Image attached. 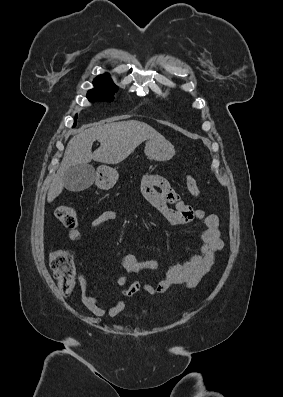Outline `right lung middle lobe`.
<instances>
[{
	"label": "right lung middle lobe",
	"instance_id": "right-lung-middle-lobe-1",
	"mask_svg": "<svg viewBox=\"0 0 283 397\" xmlns=\"http://www.w3.org/2000/svg\"><path fill=\"white\" fill-rule=\"evenodd\" d=\"M94 88L89 90L87 98L90 102L92 101H108L111 102L114 99V94L117 91V87L113 82H93ZM77 119V115L75 116ZM76 122L74 123V126Z\"/></svg>",
	"mask_w": 283,
	"mask_h": 397
}]
</instances>
